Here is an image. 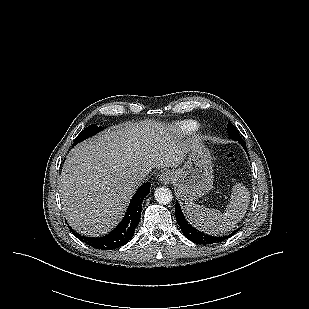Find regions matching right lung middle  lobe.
<instances>
[{
	"instance_id": "obj_1",
	"label": "right lung middle lobe",
	"mask_w": 309,
	"mask_h": 309,
	"mask_svg": "<svg viewBox=\"0 0 309 309\" xmlns=\"http://www.w3.org/2000/svg\"><path fill=\"white\" fill-rule=\"evenodd\" d=\"M102 129L101 126H96L95 124H92L90 126H88L87 128H85L75 139L73 146L76 145L77 143H79L80 141H83L86 138H89L93 135H95L96 133H98L100 130Z\"/></svg>"
}]
</instances>
